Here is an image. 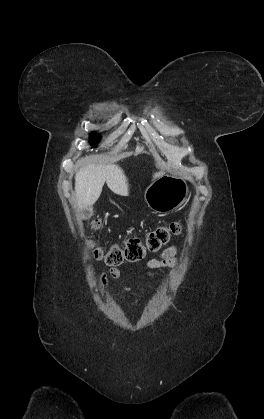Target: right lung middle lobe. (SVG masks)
Returning a JSON list of instances; mask_svg holds the SVG:
<instances>
[{
    "instance_id": "dd1d6c3e",
    "label": "right lung middle lobe",
    "mask_w": 264,
    "mask_h": 419,
    "mask_svg": "<svg viewBox=\"0 0 264 419\" xmlns=\"http://www.w3.org/2000/svg\"><path fill=\"white\" fill-rule=\"evenodd\" d=\"M90 138L92 139V141H99V135H95L94 133L90 134Z\"/></svg>"
}]
</instances>
